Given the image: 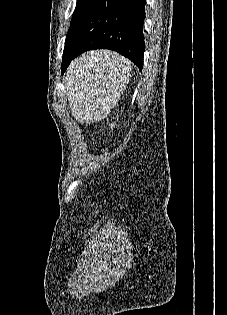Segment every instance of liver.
Listing matches in <instances>:
<instances>
[{"label": "liver", "instance_id": "liver-1", "mask_svg": "<svg viewBox=\"0 0 227 315\" xmlns=\"http://www.w3.org/2000/svg\"><path fill=\"white\" fill-rule=\"evenodd\" d=\"M104 51H98V53H103ZM107 52H109V51H107Z\"/></svg>", "mask_w": 227, "mask_h": 315}]
</instances>
